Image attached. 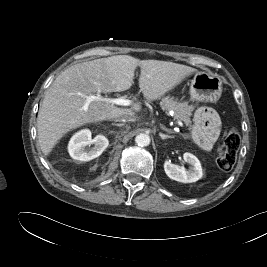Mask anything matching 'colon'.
<instances>
[{"label":"colon","mask_w":267,"mask_h":267,"mask_svg":"<svg viewBox=\"0 0 267 267\" xmlns=\"http://www.w3.org/2000/svg\"><path fill=\"white\" fill-rule=\"evenodd\" d=\"M240 145V135L236 129H232L224 136L223 143L219 149L217 165L222 171H229L234 166Z\"/></svg>","instance_id":"obj_1"}]
</instances>
